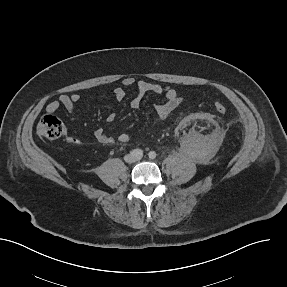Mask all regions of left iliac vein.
I'll return each mask as SVG.
<instances>
[{"label": "left iliac vein", "mask_w": 287, "mask_h": 287, "mask_svg": "<svg viewBox=\"0 0 287 287\" xmlns=\"http://www.w3.org/2000/svg\"><path fill=\"white\" fill-rule=\"evenodd\" d=\"M137 159L139 160V159H141V157H137Z\"/></svg>", "instance_id": "obj_1"}]
</instances>
